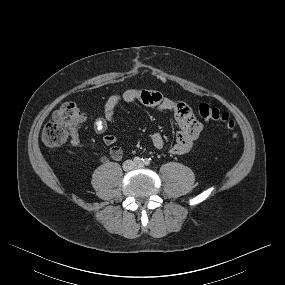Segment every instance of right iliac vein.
Listing matches in <instances>:
<instances>
[{
	"mask_svg": "<svg viewBox=\"0 0 285 285\" xmlns=\"http://www.w3.org/2000/svg\"><path fill=\"white\" fill-rule=\"evenodd\" d=\"M133 166H134L133 162L127 161L124 163L123 168H124V170L128 171V170H131L133 168Z\"/></svg>",
	"mask_w": 285,
	"mask_h": 285,
	"instance_id": "63e3f726",
	"label": "right iliac vein"
}]
</instances>
